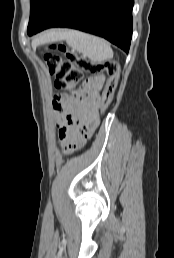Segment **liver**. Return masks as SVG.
Listing matches in <instances>:
<instances>
[{
    "instance_id": "6515ba94",
    "label": "liver",
    "mask_w": 174,
    "mask_h": 258,
    "mask_svg": "<svg viewBox=\"0 0 174 258\" xmlns=\"http://www.w3.org/2000/svg\"><path fill=\"white\" fill-rule=\"evenodd\" d=\"M56 34H58V33H54V32L47 33V34L43 35L42 37H40L39 39H37L36 41H34L33 44L35 45L36 43H39L42 40H49V39H51L52 36H54Z\"/></svg>"
}]
</instances>
